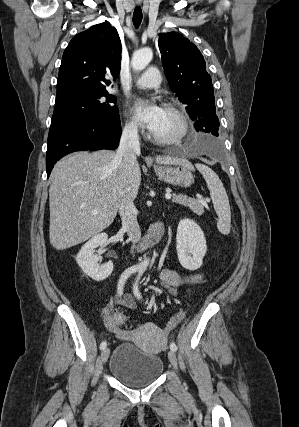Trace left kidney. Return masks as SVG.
I'll return each mask as SVG.
<instances>
[{"label": "left kidney", "instance_id": "obj_1", "mask_svg": "<svg viewBox=\"0 0 299 427\" xmlns=\"http://www.w3.org/2000/svg\"><path fill=\"white\" fill-rule=\"evenodd\" d=\"M176 242L180 264L190 271L200 268L207 252L206 239L200 226L190 219L181 220L177 228Z\"/></svg>", "mask_w": 299, "mask_h": 427}]
</instances>
